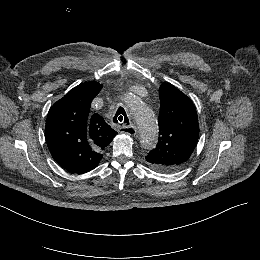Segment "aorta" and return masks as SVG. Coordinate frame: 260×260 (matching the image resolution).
<instances>
[{
  "label": "aorta",
  "instance_id": "762f6f07",
  "mask_svg": "<svg viewBox=\"0 0 260 260\" xmlns=\"http://www.w3.org/2000/svg\"><path fill=\"white\" fill-rule=\"evenodd\" d=\"M126 104L136 119L140 143L144 149H152L158 140V123L153 112L137 97L131 96Z\"/></svg>",
  "mask_w": 260,
  "mask_h": 260
}]
</instances>
